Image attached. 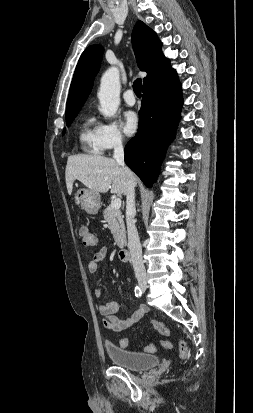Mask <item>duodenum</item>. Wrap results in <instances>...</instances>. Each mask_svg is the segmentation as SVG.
Listing matches in <instances>:
<instances>
[{
	"label": "duodenum",
	"mask_w": 253,
	"mask_h": 413,
	"mask_svg": "<svg viewBox=\"0 0 253 413\" xmlns=\"http://www.w3.org/2000/svg\"><path fill=\"white\" fill-rule=\"evenodd\" d=\"M118 257L121 262H128L130 259V251L128 248L123 247L120 249Z\"/></svg>",
	"instance_id": "obj_1"
}]
</instances>
